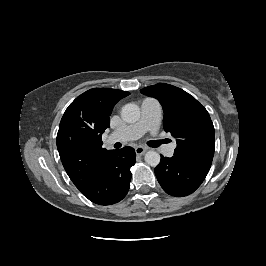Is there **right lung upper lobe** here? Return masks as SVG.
Wrapping results in <instances>:
<instances>
[{
  "label": "right lung upper lobe",
  "mask_w": 266,
  "mask_h": 266,
  "mask_svg": "<svg viewBox=\"0 0 266 266\" xmlns=\"http://www.w3.org/2000/svg\"><path fill=\"white\" fill-rule=\"evenodd\" d=\"M129 92L93 88L66 109L57 134V149L65 171L80 192L94 182L113 150L102 148V133L110 127L114 105Z\"/></svg>",
  "instance_id": "1"
}]
</instances>
